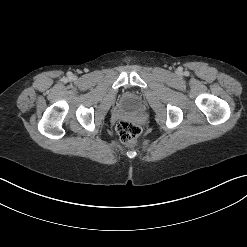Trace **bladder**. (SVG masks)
<instances>
[{
  "instance_id": "bladder-1",
  "label": "bladder",
  "mask_w": 247,
  "mask_h": 247,
  "mask_svg": "<svg viewBox=\"0 0 247 247\" xmlns=\"http://www.w3.org/2000/svg\"><path fill=\"white\" fill-rule=\"evenodd\" d=\"M125 104L129 110H138L141 100L137 94L130 93L125 98Z\"/></svg>"
}]
</instances>
